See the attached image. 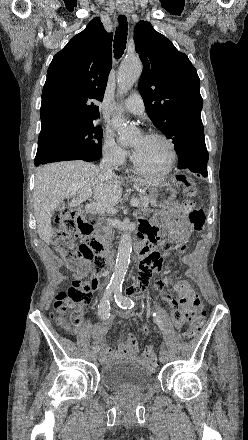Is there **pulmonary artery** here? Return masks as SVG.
<instances>
[{"mask_svg": "<svg viewBox=\"0 0 248 440\" xmlns=\"http://www.w3.org/2000/svg\"><path fill=\"white\" fill-rule=\"evenodd\" d=\"M123 109L131 114L141 115L145 111L143 99L140 94H131L123 103Z\"/></svg>", "mask_w": 248, "mask_h": 440, "instance_id": "obj_1", "label": "pulmonary artery"}]
</instances>
